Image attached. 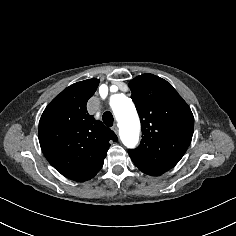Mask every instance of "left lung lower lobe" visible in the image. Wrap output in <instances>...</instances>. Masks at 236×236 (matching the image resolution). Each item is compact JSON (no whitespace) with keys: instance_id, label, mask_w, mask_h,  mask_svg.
<instances>
[{"instance_id":"obj_1","label":"left lung lower lobe","mask_w":236,"mask_h":236,"mask_svg":"<svg viewBox=\"0 0 236 236\" xmlns=\"http://www.w3.org/2000/svg\"><path fill=\"white\" fill-rule=\"evenodd\" d=\"M144 173H146L148 175H152V176H159V175L163 174V173H158V172H155V171H147V172H144Z\"/></svg>"}]
</instances>
